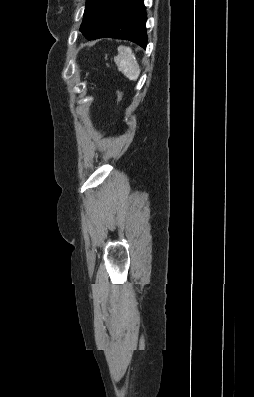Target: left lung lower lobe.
<instances>
[{
  "label": "left lung lower lobe",
  "instance_id": "0a47b994",
  "mask_svg": "<svg viewBox=\"0 0 254 397\" xmlns=\"http://www.w3.org/2000/svg\"><path fill=\"white\" fill-rule=\"evenodd\" d=\"M146 19L144 0H109L99 24L87 39H127L146 48Z\"/></svg>",
  "mask_w": 254,
  "mask_h": 397
}]
</instances>
